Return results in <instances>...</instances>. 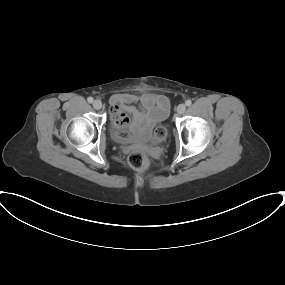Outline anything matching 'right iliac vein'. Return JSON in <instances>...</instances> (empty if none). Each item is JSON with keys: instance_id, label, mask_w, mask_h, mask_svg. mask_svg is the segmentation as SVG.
<instances>
[{"instance_id": "right-iliac-vein-1", "label": "right iliac vein", "mask_w": 285, "mask_h": 285, "mask_svg": "<svg viewBox=\"0 0 285 285\" xmlns=\"http://www.w3.org/2000/svg\"><path fill=\"white\" fill-rule=\"evenodd\" d=\"M93 107L96 109V110H99V109H101L102 108V102L100 101V100H95L94 102H93Z\"/></svg>"}]
</instances>
